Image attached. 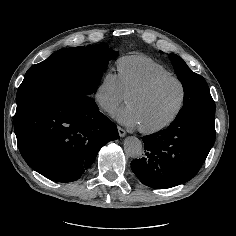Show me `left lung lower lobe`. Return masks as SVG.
Instances as JSON below:
<instances>
[{
	"label": "left lung lower lobe",
	"mask_w": 236,
	"mask_h": 236,
	"mask_svg": "<svg viewBox=\"0 0 236 236\" xmlns=\"http://www.w3.org/2000/svg\"><path fill=\"white\" fill-rule=\"evenodd\" d=\"M215 115L176 118L164 130L142 137L145 154L133 160L138 179L152 188H170L192 179L215 141Z\"/></svg>",
	"instance_id": "obj_1"
}]
</instances>
